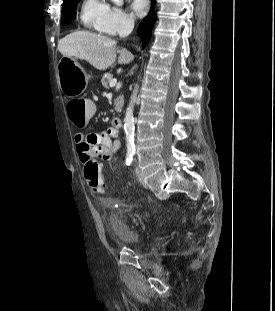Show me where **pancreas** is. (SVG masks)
I'll return each instance as SVG.
<instances>
[{
  "mask_svg": "<svg viewBox=\"0 0 275 311\" xmlns=\"http://www.w3.org/2000/svg\"><path fill=\"white\" fill-rule=\"evenodd\" d=\"M113 79V75L111 73H105L101 79V83L105 88H109L110 81ZM115 110L119 111L123 106V97L119 96L115 101Z\"/></svg>",
  "mask_w": 275,
  "mask_h": 311,
  "instance_id": "pancreas-1",
  "label": "pancreas"
}]
</instances>
